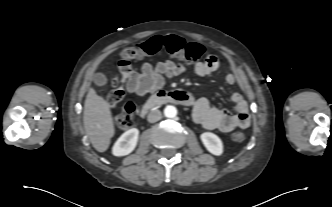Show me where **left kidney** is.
Instances as JSON below:
<instances>
[{"instance_id":"obj_1","label":"left kidney","mask_w":332,"mask_h":207,"mask_svg":"<svg viewBox=\"0 0 332 207\" xmlns=\"http://www.w3.org/2000/svg\"><path fill=\"white\" fill-rule=\"evenodd\" d=\"M200 139L205 148L213 155L220 156L223 153V143L221 139L211 132H204Z\"/></svg>"}]
</instances>
